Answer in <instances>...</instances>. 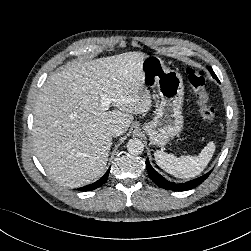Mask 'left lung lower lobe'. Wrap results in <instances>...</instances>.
Masks as SVG:
<instances>
[{
    "mask_svg": "<svg viewBox=\"0 0 251 251\" xmlns=\"http://www.w3.org/2000/svg\"><path fill=\"white\" fill-rule=\"evenodd\" d=\"M218 80V78H216ZM146 166H147V171L149 174V177L151 180L159 187L166 189V190H172V191H185V190H190L198 185H200L206 178L209 176L211 173L208 172L207 174L193 179L191 181L185 182V183H172L168 180H166L164 177H162L159 173H157L152 166L149 163V160H146Z\"/></svg>",
    "mask_w": 251,
    "mask_h": 251,
    "instance_id": "obj_1",
    "label": "left lung lower lobe"
}]
</instances>
